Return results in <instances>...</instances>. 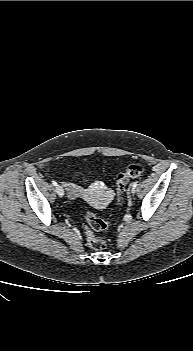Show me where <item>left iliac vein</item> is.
<instances>
[{
  "mask_svg": "<svg viewBox=\"0 0 193 351\" xmlns=\"http://www.w3.org/2000/svg\"><path fill=\"white\" fill-rule=\"evenodd\" d=\"M136 192V188L132 187L131 193L134 194Z\"/></svg>",
  "mask_w": 193,
  "mask_h": 351,
  "instance_id": "4c4485c4",
  "label": "left iliac vein"
}]
</instances>
